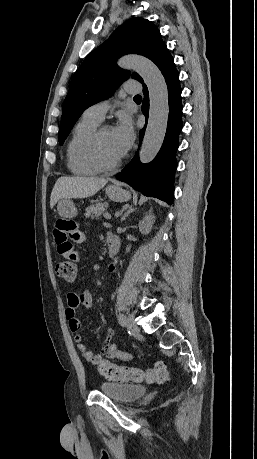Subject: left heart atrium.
<instances>
[{"label":"left heart atrium","mask_w":257,"mask_h":459,"mask_svg":"<svg viewBox=\"0 0 257 459\" xmlns=\"http://www.w3.org/2000/svg\"><path fill=\"white\" fill-rule=\"evenodd\" d=\"M117 149L123 156L132 146L135 139L133 122L130 117L121 116L116 126L112 129Z\"/></svg>","instance_id":"1"}]
</instances>
